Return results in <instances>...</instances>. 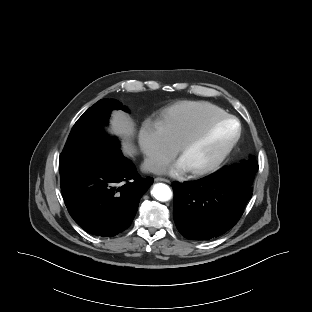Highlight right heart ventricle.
I'll return each mask as SVG.
<instances>
[{
	"label": "right heart ventricle",
	"mask_w": 312,
	"mask_h": 312,
	"mask_svg": "<svg viewBox=\"0 0 312 312\" xmlns=\"http://www.w3.org/2000/svg\"><path fill=\"white\" fill-rule=\"evenodd\" d=\"M225 110L208 102L187 101L167 109L161 116L170 140L179 145L210 120L226 115Z\"/></svg>",
	"instance_id": "obj_1"
}]
</instances>
